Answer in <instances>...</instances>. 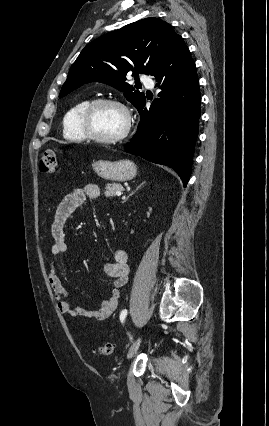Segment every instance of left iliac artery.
I'll return each instance as SVG.
<instances>
[{
	"instance_id": "left-iliac-artery-1",
	"label": "left iliac artery",
	"mask_w": 269,
	"mask_h": 426,
	"mask_svg": "<svg viewBox=\"0 0 269 426\" xmlns=\"http://www.w3.org/2000/svg\"><path fill=\"white\" fill-rule=\"evenodd\" d=\"M126 316H127V310H126V309H124V310H122V311H121V313H120V320H121V322H122V323H123V321L125 320ZM130 339L132 340V337H130Z\"/></svg>"
}]
</instances>
